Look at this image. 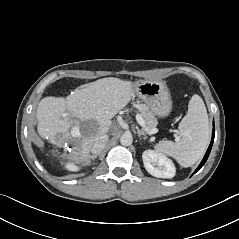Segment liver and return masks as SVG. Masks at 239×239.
<instances>
[{
	"label": "liver",
	"mask_w": 239,
	"mask_h": 239,
	"mask_svg": "<svg viewBox=\"0 0 239 239\" xmlns=\"http://www.w3.org/2000/svg\"><path fill=\"white\" fill-rule=\"evenodd\" d=\"M134 95L131 81L108 77L84 84L66 98L45 97L39 102L36 111L37 132L41 138L60 146L71 128L73 136H78L81 122L94 121L97 127L93 135L82 138L83 145L76 159V162L88 163L90 151L93 154L100 153L94 147L96 138L110 130L111 119ZM39 145L42 146L41 141Z\"/></svg>",
	"instance_id": "6515ba94"
}]
</instances>
